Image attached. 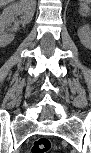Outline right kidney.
I'll return each mask as SVG.
<instances>
[{
    "label": "right kidney",
    "mask_w": 91,
    "mask_h": 153,
    "mask_svg": "<svg viewBox=\"0 0 91 153\" xmlns=\"http://www.w3.org/2000/svg\"><path fill=\"white\" fill-rule=\"evenodd\" d=\"M36 3L29 0L8 5L0 15V45L5 47L14 40V35L9 33V27L12 23L16 24V18L22 15L23 23H30L35 12Z\"/></svg>",
    "instance_id": "obj_1"
}]
</instances>
